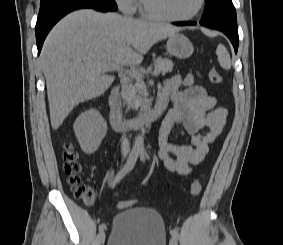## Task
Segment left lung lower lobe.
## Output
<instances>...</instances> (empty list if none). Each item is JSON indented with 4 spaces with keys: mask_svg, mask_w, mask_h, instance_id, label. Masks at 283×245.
I'll list each match as a JSON object with an SVG mask.
<instances>
[{
    "mask_svg": "<svg viewBox=\"0 0 283 245\" xmlns=\"http://www.w3.org/2000/svg\"><path fill=\"white\" fill-rule=\"evenodd\" d=\"M195 24H196V22H176V23H174V25H178V26L195 25ZM201 25H203V24H201ZM203 26L222 31L230 39V41L232 42V44L234 46L235 53H237L238 44H239L238 32H231V31H229L225 28H222V27H215V26H208V25H203Z\"/></svg>",
    "mask_w": 283,
    "mask_h": 245,
    "instance_id": "1",
    "label": "left lung lower lobe"
}]
</instances>
